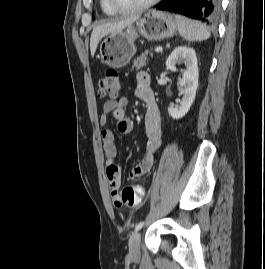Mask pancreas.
<instances>
[{
  "instance_id": "1",
  "label": "pancreas",
  "mask_w": 265,
  "mask_h": 269,
  "mask_svg": "<svg viewBox=\"0 0 265 269\" xmlns=\"http://www.w3.org/2000/svg\"><path fill=\"white\" fill-rule=\"evenodd\" d=\"M150 55L152 56V53H150ZM148 53L145 52L142 55H140L139 57H137L136 60H134L133 63V68L135 67L137 70L143 68L144 66H146V63L148 61Z\"/></svg>"
}]
</instances>
